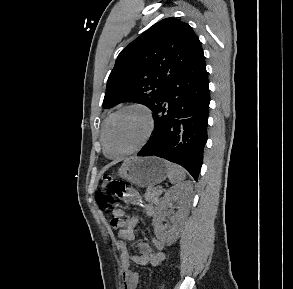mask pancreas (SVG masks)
<instances>
[{"label": "pancreas", "instance_id": "pancreas-1", "mask_svg": "<svg viewBox=\"0 0 293 289\" xmlns=\"http://www.w3.org/2000/svg\"><path fill=\"white\" fill-rule=\"evenodd\" d=\"M162 190H157L155 187H148L145 193V200L149 203H157Z\"/></svg>", "mask_w": 293, "mask_h": 289}]
</instances>
